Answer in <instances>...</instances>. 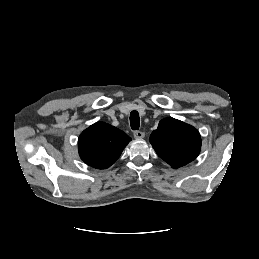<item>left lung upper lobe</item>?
Wrapping results in <instances>:
<instances>
[{
    "label": "left lung upper lobe",
    "instance_id": "left-lung-upper-lobe-1",
    "mask_svg": "<svg viewBox=\"0 0 259 259\" xmlns=\"http://www.w3.org/2000/svg\"><path fill=\"white\" fill-rule=\"evenodd\" d=\"M150 143L158 156L175 169L193 161L201 149L198 130L174 118L159 122L150 136Z\"/></svg>",
    "mask_w": 259,
    "mask_h": 259
}]
</instances>
